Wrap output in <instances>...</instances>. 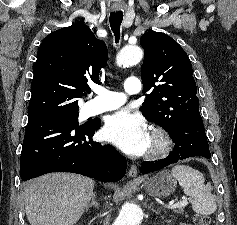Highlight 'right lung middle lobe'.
Listing matches in <instances>:
<instances>
[{
  "mask_svg": "<svg viewBox=\"0 0 237 225\" xmlns=\"http://www.w3.org/2000/svg\"><path fill=\"white\" fill-rule=\"evenodd\" d=\"M78 116H79V112H73V113L57 115L52 118L62 119V120H66V121L78 124Z\"/></svg>",
  "mask_w": 237,
  "mask_h": 225,
  "instance_id": "dd1d6c3e",
  "label": "right lung middle lobe"
}]
</instances>
